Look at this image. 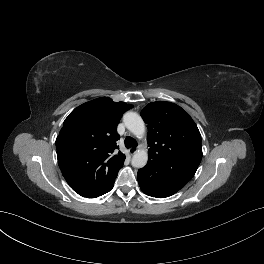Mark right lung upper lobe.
<instances>
[{"label":"right lung upper lobe","instance_id":"cb5924a9","mask_svg":"<svg viewBox=\"0 0 264 264\" xmlns=\"http://www.w3.org/2000/svg\"><path fill=\"white\" fill-rule=\"evenodd\" d=\"M133 105L102 97L75 108L56 139L58 164L70 187L96 198L109 192L125 155L117 152V125Z\"/></svg>","mask_w":264,"mask_h":264}]
</instances>
